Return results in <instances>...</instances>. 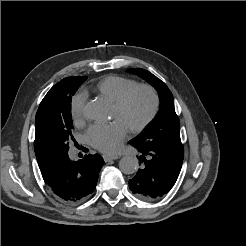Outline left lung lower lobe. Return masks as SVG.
<instances>
[{
  "label": "left lung lower lobe",
  "mask_w": 246,
  "mask_h": 246,
  "mask_svg": "<svg viewBox=\"0 0 246 246\" xmlns=\"http://www.w3.org/2000/svg\"><path fill=\"white\" fill-rule=\"evenodd\" d=\"M137 149L141 152L143 168L129 180V188L143 200L161 198L174 186L181 170L183 154L160 148Z\"/></svg>",
  "instance_id": "1"
}]
</instances>
